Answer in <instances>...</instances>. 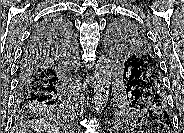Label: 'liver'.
I'll return each instance as SVG.
<instances>
[{
	"mask_svg": "<svg viewBox=\"0 0 184 133\" xmlns=\"http://www.w3.org/2000/svg\"><path fill=\"white\" fill-rule=\"evenodd\" d=\"M23 133H59V128L46 119L33 120L22 126Z\"/></svg>",
	"mask_w": 184,
	"mask_h": 133,
	"instance_id": "obj_1",
	"label": "liver"
}]
</instances>
